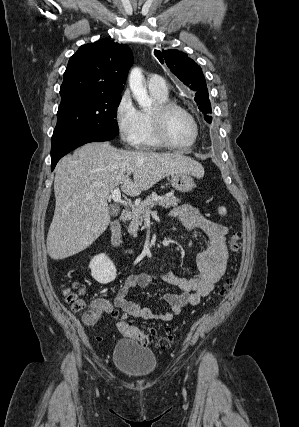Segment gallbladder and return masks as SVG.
<instances>
[{"instance_id":"obj_1","label":"gallbladder","mask_w":299,"mask_h":427,"mask_svg":"<svg viewBox=\"0 0 299 427\" xmlns=\"http://www.w3.org/2000/svg\"><path fill=\"white\" fill-rule=\"evenodd\" d=\"M110 213H111L113 216H117V215H118V213H119V210H118V209L113 208V209L110 211Z\"/></svg>"}]
</instances>
